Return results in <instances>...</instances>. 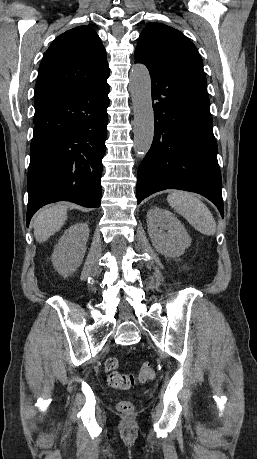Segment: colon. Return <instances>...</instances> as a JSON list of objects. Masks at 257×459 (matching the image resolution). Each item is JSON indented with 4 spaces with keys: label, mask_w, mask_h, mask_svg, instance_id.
<instances>
[{
    "label": "colon",
    "mask_w": 257,
    "mask_h": 459,
    "mask_svg": "<svg viewBox=\"0 0 257 459\" xmlns=\"http://www.w3.org/2000/svg\"><path fill=\"white\" fill-rule=\"evenodd\" d=\"M119 361L116 358H108L105 361V373L108 383L119 389H130L137 382H150L155 379L156 372L154 365L146 362L142 365L137 374H123L118 371ZM118 409L122 413L130 414L133 411V404L130 400L119 402Z\"/></svg>",
    "instance_id": "colon-1"
}]
</instances>
